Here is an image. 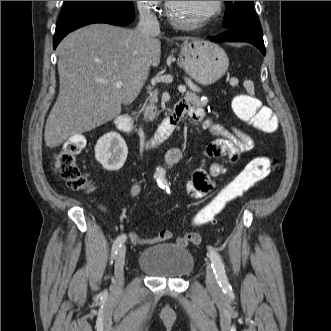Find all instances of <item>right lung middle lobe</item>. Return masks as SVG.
<instances>
[{
  "mask_svg": "<svg viewBox=\"0 0 331 331\" xmlns=\"http://www.w3.org/2000/svg\"><path fill=\"white\" fill-rule=\"evenodd\" d=\"M130 1H65L59 20L102 6L125 4Z\"/></svg>",
  "mask_w": 331,
  "mask_h": 331,
  "instance_id": "1",
  "label": "right lung middle lobe"
}]
</instances>
